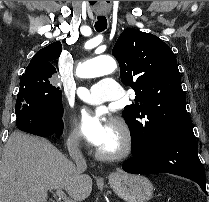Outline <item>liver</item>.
Masks as SVG:
<instances>
[{"mask_svg": "<svg viewBox=\"0 0 209 202\" xmlns=\"http://www.w3.org/2000/svg\"><path fill=\"white\" fill-rule=\"evenodd\" d=\"M56 188L83 201L92 179L47 139L14 131L0 161V202H47L48 190Z\"/></svg>", "mask_w": 209, "mask_h": 202, "instance_id": "1", "label": "liver"}]
</instances>
